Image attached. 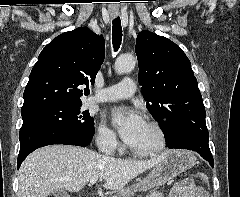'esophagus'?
<instances>
[{"label":"esophagus","instance_id":"esophagus-1","mask_svg":"<svg viewBox=\"0 0 240 197\" xmlns=\"http://www.w3.org/2000/svg\"><path fill=\"white\" fill-rule=\"evenodd\" d=\"M117 16H118V13H117V12H112V13H111V17H112V18H115V17H117Z\"/></svg>","mask_w":240,"mask_h":197}]
</instances>
